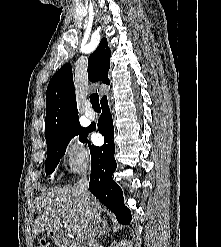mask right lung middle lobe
I'll use <instances>...</instances> for the list:
<instances>
[{
    "instance_id": "dd1d6c3e",
    "label": "right lung middle lobe",
    "mask_w": 221,
    "mask_h": 247,
    "mask_svg": "<svg viewBox=\"0 0 221 247\" xmlns=\"http://www.w3.org/2000/svg\"><path fill=\"white\" fill-rule=\"evenodd\" d=\"M76 135H79L81 142L85 143L87 141L88 131L86 128H81L78 121L66 127L60 133L46 138L47 159L45 171L47 175L55 170L60 158L65 154L68 143Z\"/></svg>"
}]
</instances>
